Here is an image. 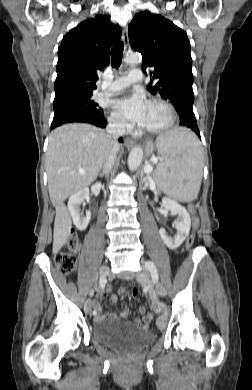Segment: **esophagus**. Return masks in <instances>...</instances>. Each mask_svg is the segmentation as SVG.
<instances>
[{
	"label": "esophagus",
	"mask_w": 252,
	"mask_h": 390,
	"mask_svg": "<svg viewBox=\"0 0 252 390\" xmlns=\"http://www.w3.org/2000/svg\"><path fill=\"white\" fill-rule=\"evenodd\" d=\"M122 41L124 43V46L127 47L128 46V43H129V39H128V28L127 27H124L123 30H122ZM134 145V141L129 139V138H126L125 139V146L130 148Z\"/></svg>",
	"instance_id": "1"
}]
</instances>
